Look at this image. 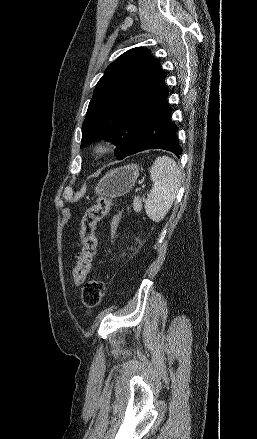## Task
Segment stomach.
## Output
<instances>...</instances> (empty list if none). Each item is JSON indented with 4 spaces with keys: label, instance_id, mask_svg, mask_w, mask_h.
Masks as SVG:
<instances>
[{
    "label": "stomach",
    "instance_id": "obj_1",
    "mask_svg": "<svg viewBox=\"0 0 257 439\" xmlns=\"http://www.w3.org/2000/svg\"><path fill=\"white\" fill-rule=\"evenodd\" d=\"M139 176V166L126 165L110 170L101 178L95 192L99 196L116 198L126 195L134 187Z\"/></svg>",
    "mask_w": 257,
    "mask_h": 439
}]
</instances>
